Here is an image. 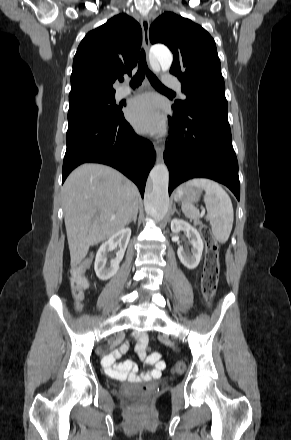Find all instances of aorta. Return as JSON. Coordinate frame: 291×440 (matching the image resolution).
<instances>
[{
	"label": "aorta",
	"mask_w": 291,
	"mask_h": 440,
	"mask_svg": "<svg viewBox=\"0 0 291 440\" xmlns=\"http://www.w3.org/2000/svg\"><path fill=\"white\" fill-rule=\"evenodd\" d=\"M151 52L163 71L170 69L173 61L172 53L163 45H155ZM169 171L164 163L156 164L150 172L146 187L144 206L148 215L156 220L165 217L169 207L168 195Z\"/></svg>",
	"instance_id": "aorta-1"
}]
</instances>
